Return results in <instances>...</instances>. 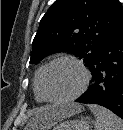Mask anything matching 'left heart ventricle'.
I'll list each match as a JSON object with an SVG mask.
<instances>
[{"mask_svg": "<svg viewBox=\"0 0 123 130\" xmlns=\"http://www.w3.org/2000/svg\"><path fill=\"white\" fill-rule=\"evenodd\" d=\"M83 82L81 69L70 61L53 64L45 76V88L52 98H67L75 94Z\"/></svg>", "mask_w": 123, "mask_h": 130, "instance_id": "b2bd125f", "label": "left heart ventricle"}]
</instances>
